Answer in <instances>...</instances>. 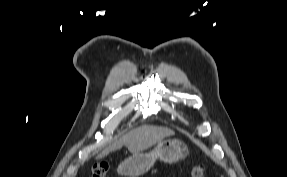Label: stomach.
I'll return each mask as SVG.
<instances>
[{"instance_id":"obj_1","label":"stomach","mask_w":287,"mask_h":177,"mask_svg":"<svg viewBox=\"0 0 287 177\" xmlns=\"http://www.w3.org/2000/svg\"><path fill=\"white\" fill-rule=\"evenodd\" d=\"M188 155V147L180 140H163L150 152L133 153L117 168L119 174L127 177H138L150 170L156 159L166 163L183 160Z\"/></svg>"}]
</instances>
